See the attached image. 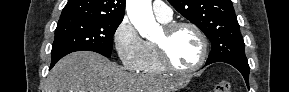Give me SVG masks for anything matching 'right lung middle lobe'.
<instances>
[{"mask_svg":"<svg viewBox=\"0 0 289 92\" xmlns=\"http://www.w3.org/2000/svg\"><path fill=\"white\" fill-rule=\"evenodd\" d=\"M121 22L83 18L59 20L52 45V62L82 50L111 57L113 35Z\"/></svg>","mask_w":289,"mask_h":92,"instance_id":"1","label":"right lung middle lobe"}]
</instances>
